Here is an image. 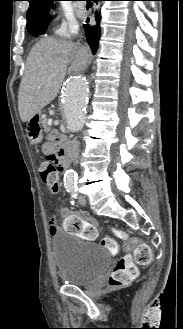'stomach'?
Wrapping results in <instances>:
<instances>
[{
	"mask_svg": "<svg viewBox=\"0 0 183 329\" xmlns=\"http://www.w3.org/2000/svg\"><path fill=\"white\" fill-rule=\"evenodd\" d=\"M28 133H29V135H31L30 133H33V135H34V136H29L31 143L37 144V143L41 142L43 135L37 129L28 131Z\"/></svg>",
	"mask_w": 183,
	"mask_h": 329,
	"instance_id": "1",
	"label": "stomach"
}]
</instances>
